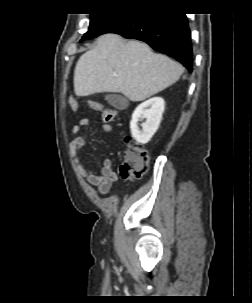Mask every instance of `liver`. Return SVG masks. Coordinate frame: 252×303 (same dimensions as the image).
I'll use <instances>...</instances> for the list:
<instances>
[{
    "label": "liver",
    "instance_id": "1",
    "mask_svg": "<svg viewBox=\"0 0 252 303\" xmlns=\"http://www.w3.org/2000/svg\"><path fill=\"white\" fill-rule=\"evenodd\" d=\"M184 69L170 58L153 53L139 41H124L105 34L76 63L77 96L122 93L133 102L143 101L179 80Z\"/></svg>",
    "mask_w": 252,
    "mask_h": 303
}]
</instances>
